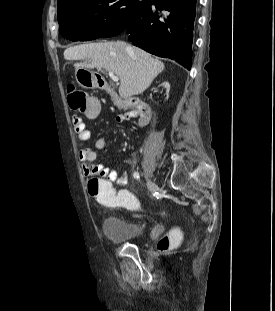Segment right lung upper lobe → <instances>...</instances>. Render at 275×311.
I'll list each match as a JSON object with an SVG mask.
<instances>
[{
    "label": "right lung upper lobe",
    "mask_w": 275,
    "mask_h": 311,
    "mask_svg": "<svg viewBox=\"0 0 275 311\" xmlns=\"http://www.w3.org/2000/svg\"><path fill=\"white\" fill-rule=\"evenodd\" d=\"M67 1H71V0H58V5L64 3V2H67Z\"/></svg>",
    "instance_id": "cb5924a9"
}]
</instances>
